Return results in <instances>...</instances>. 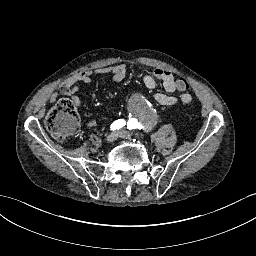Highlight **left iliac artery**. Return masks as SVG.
<instances>
[{"label": "left iliac artery", "mask_w": 256, "mask_h": 256, "mask_svg": "<svg viewBox=\"0 0 256 256\" xmlns=\"http://www.w3.org/2000/svg\"><path fill=\"white\" fill-rule=\"evenodd\" d=\"M134 123H135V120H134L133 118L130 119V120L128 121V123H127V128L130 129L131 126H132Z\"/></svg>", "instance_id": "44dca946"}]
</instances>
